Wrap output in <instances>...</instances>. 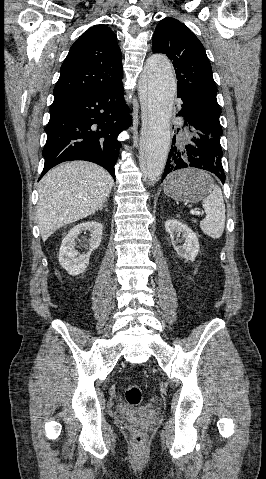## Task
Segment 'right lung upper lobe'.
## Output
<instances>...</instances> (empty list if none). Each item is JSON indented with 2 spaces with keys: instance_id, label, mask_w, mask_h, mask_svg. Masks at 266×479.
Returning a JSON list of instances; mask_svg holds the SVG:
<instances>
[{
  "instance_id": "right-lung-upper-lobe-1",
  "label": "right lung upper lobe",
  "mask_w": 266,
  "mask_h": 479,
  "mask_svg": "<svg viewBox=\"0 0 266 479\" xmlns=\"http://www.w3.org/2000/svg\"><path fill=\"white\" fill-rule=\"evenodd\" d=\"M122 55L114 32L100 24L89 28L71 46L54 97L116 85L122 81Z\"/></svg>"
}]
</instances>
